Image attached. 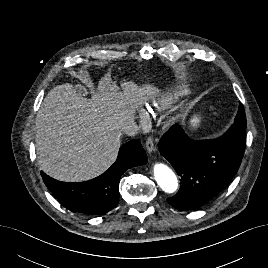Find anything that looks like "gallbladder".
Here are the masks:
<instances>
[{
    "instance_id": "bac80fb5",
    "label": "gallbladder",
    "mask_w": 268,
    "mask_h": 268,
    "mask_svg": "<svg viewBox=\"0 0 268 268\" xmlns=\"http://www.w3.org/2000/svg\"><path fill=\"white\" fill-rule=\"evenodd\" d=\"M78 91L79 93L83 94V89L81 87L78 89Z\"/></svg>"
}]
</instances>
